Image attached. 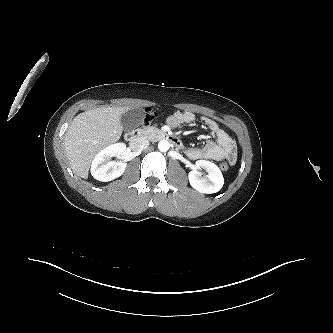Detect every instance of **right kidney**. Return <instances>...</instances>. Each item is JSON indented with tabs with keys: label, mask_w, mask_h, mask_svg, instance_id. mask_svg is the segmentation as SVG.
<instances>
[{
	"label": "right kidney",
	"mask_w": 333,
	"mask_h": 333,
	"mask_svg": "<svg viewBox=\"0 0 333 333\" xmlns=\"http://www.w3.org/2000/svg\"><path fill=\"white\" fill-rule=\"evenodd\" d=\"M125 150L126 146L124 143L112 144L101 150L92 161V176L102 182H108L120 177L124 173L127 164L122 161H110V159L114 156L120 157Z\"/></svg>",
	"instance_id": "ca27d5eb"
}]
</instances>
